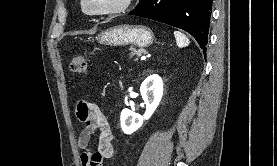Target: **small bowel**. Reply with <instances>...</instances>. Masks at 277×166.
<instances>
[{
  "label": "small bowel",
  "instance_id": "c3829d8e",
  "mask_svg": "<svg viewBox=\"0 0 277 166\" xmlns=\"http://www.w3.org/2000/svg\"><path fill=\"white\" fill-rule=\"evenodd\" d=\"M78 120L83 128L78 136L81 166H100L103 160L114 154L113 134L110 125L100 110L93 103L80 102L76 108ZM97 138L96 151L90 149L92 141Z\"/></svg>",
  "mask_w": 277,
  "mask_h": 166
}]
</instances>
